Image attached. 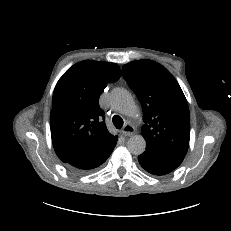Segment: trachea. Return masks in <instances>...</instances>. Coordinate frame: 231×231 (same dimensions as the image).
<instances>
[{
	"instance_id": "obj_1",
	"label": "trachea",
	"mask_w": 231,
	"mask_h": 231,
	"mask_svg": "<svg viewBox=\"0 0 231 231\" xmlns=\"http://www.w3.org/2000/svg\"><path fill=\"white\" fill-rule=\"evenodd\" d=\"M112 121H113L114 126L117 129H121L122 128V126H123V120H122V118L120 116L114 115Z\"/></svg>"
}]
</instances>
